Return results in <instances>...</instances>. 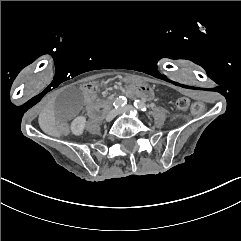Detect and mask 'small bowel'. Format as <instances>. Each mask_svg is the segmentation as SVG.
<instances>
[{
	"label": "small bowel",
	"mask_w": 241,
	"mask_h": 241,
	"mask_svg": "<svg viewBox=\"0 0 241 241\" xmlns=\"http://www.w3.org/2000/svg\"><path fill=\"white\" fill-rule=\"evenodd\" d=\"M81 90L83 92L87 112L90 115L91 111L96 107L97 90L98 86L95 83H87L82 85Z\"/></svg>",
	"instance_id": "1"
}]
</instances>
